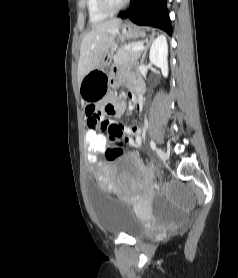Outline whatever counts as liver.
<instances>
[{"label":"liver","mask_w":238,"mask_h":278,"mask_svg":"<svg viewBox=\"0 0 238 278\" xmlns=\"http://www.w3.org/2000/svg\"><path fill=\"white\" fill-rule=\"evenodd\" d=\"M120 25L121 19L100 22L83 37L78 62V85L88 72L101 65L114 44Z\"/></svg>","instance_id":"1"}]
</instances>
